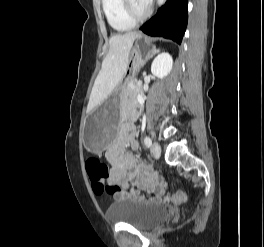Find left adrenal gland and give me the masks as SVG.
Returning a JSON list of instances; mask_svg holds the SVG:
<instances>
[{
	"label": "left adrenal gland",
	"instance_id": "1",
	"mask_svg": "<svg viewBox=\"0 0 264 247\" xmlns=\"http://www.w3.org/2000/svg\"><path fill=\"white\" fill-rule=\"evenodd\" d=\"M159 52H160V49H156V47H153V48L151 49V51H149V53H148V55H147V57H146L145 62L148 61L149 59H151L155 54H157V53H159Z\"/></svg>",
	"mask_w": 264,
	"mask_h": 247
}]
</instances>
